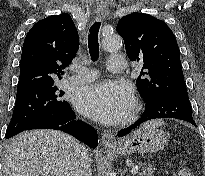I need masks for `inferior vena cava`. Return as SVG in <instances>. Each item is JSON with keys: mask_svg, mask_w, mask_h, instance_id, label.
I'll return each mask as SVG.
<instances>
[{"mask_svg": "<svg viewBox=\"0 0 205 176\" xmlns=\"http://www.w3.org/2000/svg\"><path fill=\"white\" fill-rule=\"evenodd\" d=\"M74 176H92L91 159L87 149L78 144L75 150V173Z\"/></svg>", "mask_w": 205, "mask_h": 176, "instance_id": "inferior-vena-cava-1", "label": "inferior vena cava"}]
</instances>
